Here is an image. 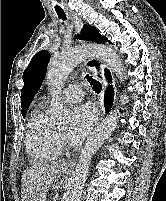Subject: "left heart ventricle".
Masks as SVG:
<instances>
[{"label":"left heart ventricle","instance_id":"b2bd125f","mask_svg":"<svg viewBox=\"0 0 166 201\" xmlns=\"http://www.w3.org/2000/svg\"><path fill=\"white\" fill-rule=\"evenodd\" d=\"M60 130H61V131H64V130H65V127L60 128Z\"/></svg>","mask_w":166,"mask_h":201}]
</instances>
